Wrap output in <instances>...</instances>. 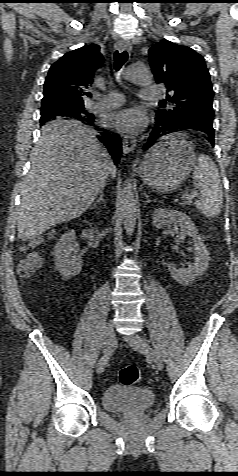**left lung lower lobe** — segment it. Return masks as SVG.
I'll list each match as a JSON object with an SVG mask.
<instances>
[{
    "mask_svg": "<svg viewBox=\"0 0 238 476\" xmlns=\"http://www.w3.org/2000/svg\"><path fill=\"white\" fill-rule=\"evenodd\" d=\"M213 118L200 116V115H191L185 116L181 118H167V119H158L157 123L150 133L143 149L148 150L149 148L153 147L157 139L162 137L163 135L167 134L168 130L171 129H193L202 131L206 134L205 138L210 142V144L214 147V129L212 127Z\"/></svg>",
    "mask_w": 238,
    "mask_h": 476,
    "instance_id": "obj_1",
    "label": "left lung lower lobe"
}]
</instances>
